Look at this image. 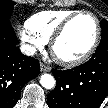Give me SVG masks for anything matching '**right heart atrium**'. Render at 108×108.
<instances>
[{"mask_svg": "<svg viewBox=\"0 0 108 108\" xmlns=\"http://www.w3.org/2000/svg\"><path fill=\"white\" fill-rule=\"evenodd\" d=\"M20 38L30 52H35L43 48L45 42L33 34L27 26H22L19 30Z\"/></svg>", "mask_w": 108, "mask_h": 108, "instance_id": "right-heart-atrium-1", "label": "right heart atrium"}]
</instances>
